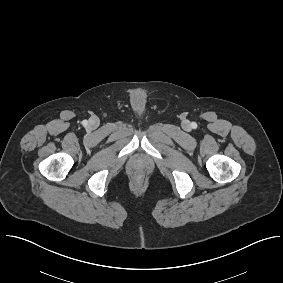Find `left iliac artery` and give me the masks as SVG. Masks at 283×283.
I'll use <instances>...</instances> for the list:
<instances>
[{"label": "left iliac artery", "mask_w": 283, "mask_h": 283, "mask_svg": "<svg viewBox=\"0 0 283 283\" xmlns=\"http://www.w3.org/2000/svg\"><path fill=\"white\" fill-rule=\"evenodd\" d=\"M196 126V124H193V127H195Z\"/></svg>", "instance_id": "obj_1"}]
</instances>
